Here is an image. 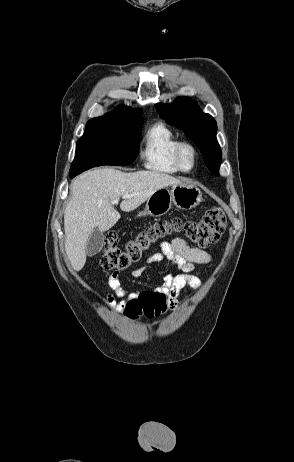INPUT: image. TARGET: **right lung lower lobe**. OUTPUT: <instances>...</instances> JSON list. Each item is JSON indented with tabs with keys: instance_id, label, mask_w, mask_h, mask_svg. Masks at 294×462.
<instances>
[{
	"instance_id": "98d812e1",
	"label": "right lung lower lobe",
	"mask_w": 294,
	"mask_h": 462,
	"mask_svg": "<svg viewBox=\"0 0 294 462\" xmlns=\"http://www.w3.org/2000/svg\"><path fill=\"white\" fill-rule=\"evenodd\" d=\"M108 163H111V162H109V161L103 162V164H108ZM75 176H76V175H71L70 178H73V177H75Z\"/></svg>"
}]
</instances>
